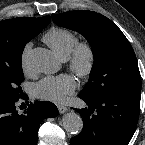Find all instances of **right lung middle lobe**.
<instances>
[{
  "instance_id": "dd1d6c3e",
  "label": "right lung middle lobe",
  "mask_w": 145,
  "mask_h": 145,
  "mask_svg": "<svg viewBox=\"0 0 145 145\" xmlns=\"http://www.w3.org/2000/svg\"><path fill=\"white\" fill-rule=\"evenodd\" d=\"M42 30L43 28L26 33L22 40V46H25ZM23 80L21 55L9 64H0V99L17 100L21 98L24 95L20 87Z\"/></svg>"
}]
</instances>
